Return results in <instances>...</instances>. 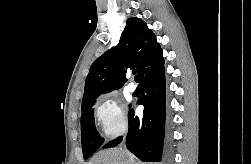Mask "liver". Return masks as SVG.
<instances>
[{
    "mask_svg": "<svg viewBox=\"0 0 251 164\" xmlns=\"http://www.w3.org/2000/svg\"><path fill=\"white\" fill-rule=\"evenodd\" d=\"M87 164H141L127 150L113 148L99 151Z\"/></svg>",
    "mask_w": 251,
    "mask_h": 164,
    "instance_id": "6515ba94",
    "label": "liver"
}]
</instances>
